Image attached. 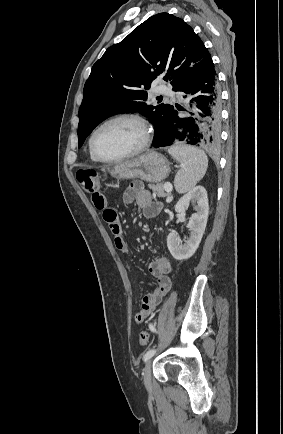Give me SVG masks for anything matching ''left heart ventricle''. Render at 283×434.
Returning a JSON list of instances; mask_svg holds the SVG:
<instances>
[{
    "instance_id": "b2bd125f",
    "label": "left heart ventricle",
    "mask_w": 283,
    "mask_h": 434,
    "mask_svg": "<svg viewBox=\"0 0 283 434\" xmlns=\"http://www.w3.org/2000/svg\"><path fill=\"white\" fill-rule=\"evenodd\" d=\"M141 128L132 121L121 120L104 126L96 134L94 147L104 158H116L134 151L142 142Z\"/></svg>"
}]
</instances>
